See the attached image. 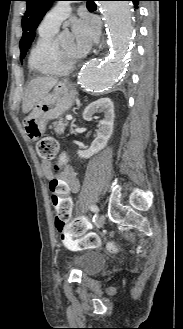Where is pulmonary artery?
I'll return each instance as SVG.
<instances>
[{
    "label": "pulmonary artery",
    "mask_w": 183,
    "mask_h": 329,
    "mask_svg": "<svg viewBox=\"0 0 183 329\" xmlns=\"http://www.w3.org/2000/svg\"><path fill=\"white\" fill-rule=\"evenodd\" d=\"M72 8L67 2L57 3L43 18L39 30L56 32L60 24L70 16Z\"/></svg>",
    "instance_id": "obj_1"
}]
</instances>
